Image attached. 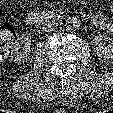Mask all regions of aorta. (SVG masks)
<instances>
[{
  "label": "aorta",
  "instance_id": "1",
  "mask_svg": "<svg viewBox=\"0 0 113 113\" xmlns=\"http://www.w3.org/2000/svg\"><path fill=\"white\" fill-rule=\"evenodd\" d=\"M80 25H81V22L77 17H74V16L68 17L65 20V28L68 31H76L79 29Z\"/></svg>",
  "mask_w": 113,
  "mask_h": 113
}]
</instances>
